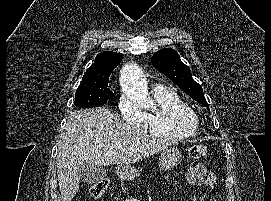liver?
<instances>
[{
    "mask_svg": "<svg viewBox=\"0 0 271 201\" xmlns=\"http://www.w3.org/2000/svg\"><path fill=\"white\" fill-rule=\"evenodd\" d=\"M121 144L120 148L114 145ZM172 145L129 125L109 108L73 111L58 142L57 176L62 201H71L79 190L77 168L129 165Z\"/></svg>",
    "mask_w": 271,
    "mask_h": 201,
    "instance_id": "liver-1",
    "label": "liver"
}]
</instances>
